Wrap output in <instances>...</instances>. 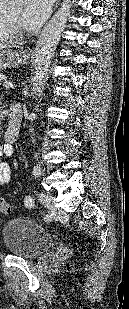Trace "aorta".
Returning <instances> with one entry per match:
<instances>
[{
	"instance_id": "obj_1",
	"label": "aorta",
	"mask_w": 129,
	"mask_h": 309,
	"mask_svg": "<svg viewBox=\"0 0 129 309\" xmlns=\"http://www.w3.org/2000/svg\"><path fill=\"white\" fill-rule=\"evenodd\" d=\"M67 14L68 8L66 6L61 8L45 25L38 38L33 57V77L30 90L32 99H37L44 88L50 63L66 26Z\"/></svg>"
}]
</instances>
